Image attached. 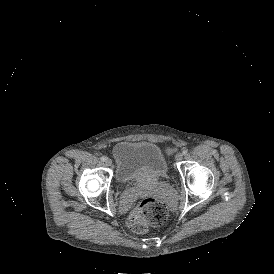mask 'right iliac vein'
I'll use <instances>...</instances> for the list:
<instances>
[{
	"label": "right iliac vein",
	"instance_id": "1",
	"mask_svg": "<svg viewBox=\"0 0 274 274\" xmlns=\"http://www.w3.org/2000/svg\"><path fill=\"white\" fill-rule=\"evenodd\" d=\"M105 164H106V166L110 167V166H112V161L110 159H107L105 161Z\"/></svg>",
	"mask_w": 274,
	"mask_h": 274
}]
</instances>
